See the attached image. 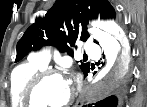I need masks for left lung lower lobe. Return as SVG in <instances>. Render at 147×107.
<instances>
[{
    "mask_svg": "<svg viewBox=\"0 0 147 107\" xmlns=\"http://www.w3.org/2000/svg\"><path fill=\"white\" fill-rule=\"evenodd\" d=\"M89 72L90 69L85 74V76H87ZM126 93H127V88L125 85H122L121 83L117 88L116 95L109 96L106 99L101 100L95 104L86 105L84 107H121L124 97L126 96Z\"/></svg>",
    "mask_w": 147,
    "mask_h": 107,
    "instance_id": "1",
    "label": "left lung lower lobe"
}]
</instances>
